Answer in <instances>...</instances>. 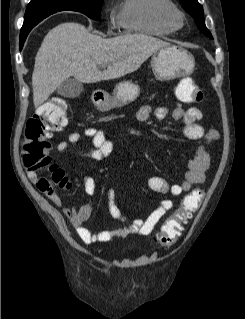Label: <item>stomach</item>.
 Segmentation results:
<instances>
[{
  "mask_svg": "<svg viewBox=\"0 0 245 319\" xmlns=\"http://www.w3.org/2000/svg\"><path fill=\"white\" fill-rule=\"evenodd\" d=\"M150 64L156 79L164 81L192 73L195 60L185 49L168 45L153 54ZM139 91V86L132 81L120 82L113 95L96 102V106L102 112L125 106L138 97Z\"/></svg>",
  "mask_w": 245,
  "mask_h": 319,
  "instance_id": "0dacf381",
  "label": "stomach"
}]
</instances>
